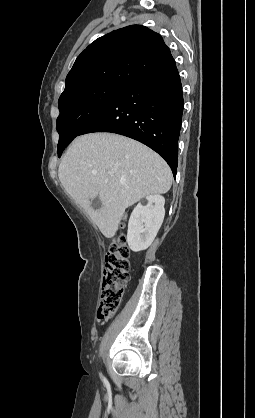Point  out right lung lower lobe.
<instances>
[{
    "label": "right lung lower lobe",
    "mask_w": 255,
    "mask_h": 418,
    "mask_svg": "<svg viewBox=\"0 0 255 418\" xmlns=\"http://www.w3.org/2000/svg\"><path fill=\"white\" fill-rule=\"evenodd\" d=\"M183 92L176 64L127 85L81 130L112 132L156 151L176 176Z\"/></svg>",
    "instance_id": "obj_1"
}]
</instances>
